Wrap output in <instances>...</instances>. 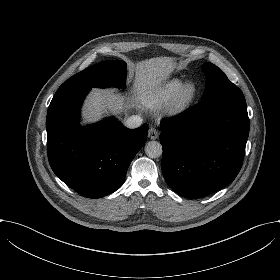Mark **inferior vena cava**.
Masks as SVG:
<instances>
[{
	"label": "inferior vena cava",
	"instance_id": "inferior-vena-cava-1",
	"mask_svg": "<svg viewBox=\"0 0 280 280\" xmlns=\"http://www.w3.org/2000/svg\"><path fill=\"white\" fill-rule=\"evenodd\" d=\"M142 123V117L139 115H132L124 122V126L129 129L137 128Z\"/></svg>",
	"mask_w": 280,
	"mask_h": 280
}]
</instances>
